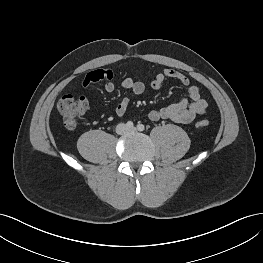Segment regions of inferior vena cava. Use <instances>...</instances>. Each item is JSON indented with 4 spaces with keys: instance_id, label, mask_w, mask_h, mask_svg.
<instances>
[{
    "instance_id": "obj_1",
    "label": "inferior vena cava",
    "mask_w": 263,
    "mask_h": 263,
    "mask_svg": "<svg viewBox=\"0 0 263 263\" xmlns=\"http://www.w3.org/2000/svg\"><path fill=\"white\" fill-rule=\"evenodd\" d=\"M125 124L121 123V124H118L117 127H116V132L118 134H122L125 132Z\"/></svg>"
}]
</instances>
